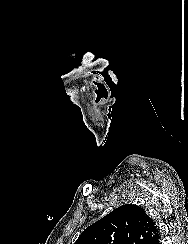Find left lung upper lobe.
Instances as JSON below:
<instances>
[{
  "instance_id": "5c2ea615",
  "label": "left lung upper lobe",
  "mask_w": 188,
  "mask_h": 244,
  "mask_svg": "<svg viewBox=\"0 0 188 244\" xmlns=\"http://www.w3.org/2000/svg\"><path fill=\"white\" fill-rule=\"evenodd\" d=\"M158 232L143 208L126 204L88 226L75 244H150Z\"/></svg>"
}]
</instances>
